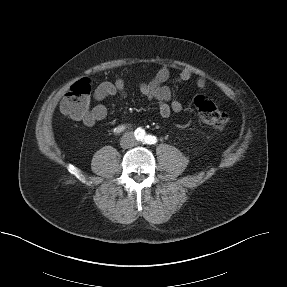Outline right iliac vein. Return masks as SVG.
Masks as SVG:
<instances>
[{
  "mask_svg": "<svg viewBox=\"0 0 287 287\" xmlns=\"http://www.w3.org/2000/svg\"><path fill=\"white\" fill-rule=\"evenodd\" d=\"M128 138H124L123 140H122V145H127L128 144Z\"/></svg>",
  "mask_w": 287,
  "mask_h": 287,
  "instance_id": "1",
  "label": "right iliac vein"
}]
</instances>
